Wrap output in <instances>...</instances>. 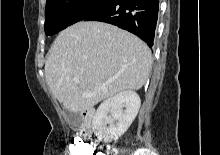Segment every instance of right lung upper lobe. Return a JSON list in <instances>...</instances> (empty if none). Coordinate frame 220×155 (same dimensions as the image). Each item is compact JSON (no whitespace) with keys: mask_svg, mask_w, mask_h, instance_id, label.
Here are the masks:
<instances>
[{"mask_svg":"<svg viewBox=\"0 0 220 155\" xmlns=\"http://www.w3.org/2000/svg\"><path fill=\"white\" fill-rule=\"evenodd\" d=\"M51 1H52V0H47L46 3H49V2H51Z\"/></svg>","mask_w":220,"mask_h":155,"instance_id":"obj_1","label":"right lung upper lobe"}]
</instances>
